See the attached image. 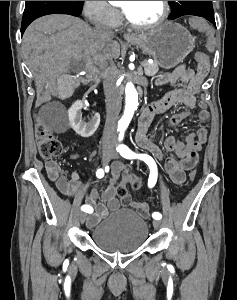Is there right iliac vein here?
Returning a JSON list of instances; mask_svg holds the SVG:
<instances>
[{
    "label": "right iliac vein",
    "instance_id": "63e3f726",
    "mask_svg": "<svg viewBox=\"0 0 237 300\" xmlns=\"http://www.w3.org/2000/svg\"><path fill=\"white\" fill-rule=\"evenodd\" d=\"M113 152H114V150L112 148H110V147H105L103 149L102 160H103V164L104 165H106L109 162V160L111 159V155H112ZM86 218H87V214L86 213L81 212L79 214V219H80L81 223H84V221L86 220Z\"/></svg>",
    "mask_w": 237,
    "mask_h": 300
}]
</instances>
